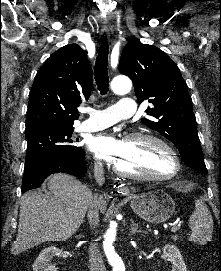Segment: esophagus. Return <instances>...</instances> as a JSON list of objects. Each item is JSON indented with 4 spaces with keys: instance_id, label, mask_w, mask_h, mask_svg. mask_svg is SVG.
<instances>
[{
    "instance_id": "esophagus-1",
    "label": "esophagus",
    "mask_w": 221,
    "mask_h": 271,
    "mask_svg": "<svg viewBox=\"0 0 221 271\" xmlns=\"http://www.w3.org/2000/svg\"><path fill=\"white\" fill-rule=\"evenodd\" d=\"M109 37V30L108 28H105V27H102L101 30H100V38L103 40V39H106ZM121 190L125 193H129V188L127 186H125L124 183H122L121 185Z\"/></svg>"
}]
</instances>
